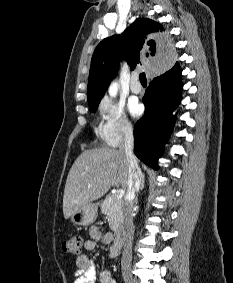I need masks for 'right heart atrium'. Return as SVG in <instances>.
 <instances>
[{"mask_svg": "<svg viewBox=\"0 0 233 283\" xmlns=\"http://www.w3.org/2000/svg\"><path fill=\"white\" fill-rule=\"evenodd\" d=\"M98 110L103 120L101 137L108 146L116 147L132 137L134 127L122 104L105 97L100 101Z\"/></svg>", "mask_w": 233, "mask_h": 283, "instance_id": "obj_1", "label": "right heart atrium"}]
</instances>
